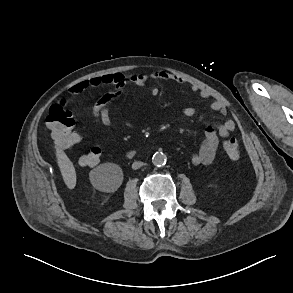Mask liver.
I'll return each mask as SVG.
<instances>
[{"label":"liver","instance_id":"6515ba94","mask_svg":"<svg viewBox=\"0 0 293 293\" xmlns=\"http://www.w3.org/2000/svg\"><path fill=\"white\" fill-rule=\"evenodd\" d=\"M56 157L64 183L69 189H73L76 185V171L73 163L63 152V150L59 148L56 150Z\"/></svg>","mask_w":293,"mask_h":293}]
</instances>
